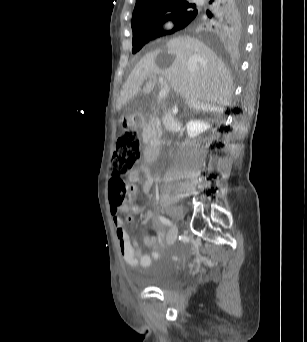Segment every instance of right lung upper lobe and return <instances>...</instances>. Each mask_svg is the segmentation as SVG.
<instances>
[{
    "label": "right lung upper lobe",
    "mask_w": 307,
    "mask_h": 342,
    "mask_svg": "<svg viewBox=\"0 0 307 342\" xmlns=\"http://www.w3.org/2000/svg\"><path fill=\"white\" fill-rule=\"evenodd\" d=\"M239 8L237 0H209L198 6L187 0H136L133 35L162 31L161 25L172 20L175 23L172 31L190 26L209 39L222 41Z\"/></svg>",
    "instance_id": "cb5924a9"
}]
</instances>
